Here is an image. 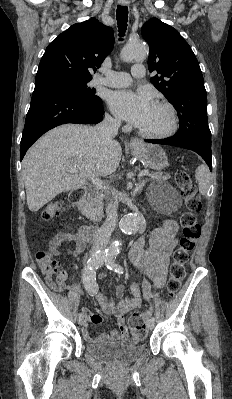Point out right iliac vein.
<instances>
[{
	"mask_svg": "<svg viewBox=\"0 0 232 399\" xmlns=\"http://www.w3.org/2000/svg\"><path fill=\"white\" fill-rule=\"evenodd\" d=\"M77 322H78V325H79V326H82V325H83V322H84V317H83V316H80V317L77 319Z\"/></svg>",
	"mask_w": 232,
	"mask_h": 399,
	"instance_id": "1",
	"label": "right iliac vein"
}]
</instances>
